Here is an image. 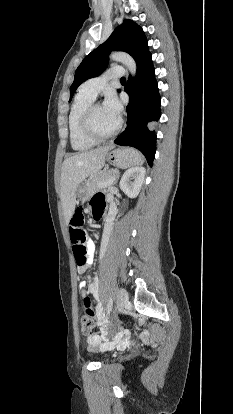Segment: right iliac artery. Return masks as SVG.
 Listing matches in <instances>:
<instances>
[{
    "mask_svg": "<svg viewBox=\"0 0 233 414\" xmlns=\"http://www.w3.org/2000/svg\"><path fill=\"white\" fill-rule=\"evenodd\" d=\"M104 248H105V246L103 245V246H102V252L104 251Z\"/></svg>",
    "mask_w": 233,
    "mask_h": 414,
    "instance_id": "obj_1",
    "label": "right iliac artery"
}]
</instances>
